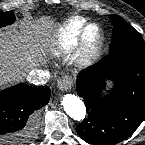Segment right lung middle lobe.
Returning a JSON list of instances; mask_svg holds the SVG:
<instances>
[{
	"mask_svg": "<svg viewBox=\"0 0 145 145\" xmlns=\"http://www.w3.org/2000/svg\"><path fill=\"white\" fill-rule=\"evenodd\" d=\"M14 20L15 16L12 11L0 12V28L12 24Z\"/></svg>",
	"mask_w": 145,
	"mask_h": 145,
	"instance_id": "dd1d6c3e",
	"label": "right lung middle lobe"
}]
</instances>
